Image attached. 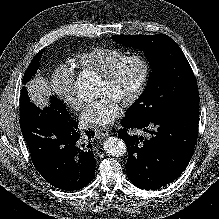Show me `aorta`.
<instances>
[{
    "label": "aorta",
    "mask_w": 219,
    "mask_h": 219,
    "mask_svg": "<svg viewBox=\"0 0 219 219\" xmlns=\"http://www.w3.org/2000/svg\"><path fill=\"white\" fill-rule=\"evenodd\" d=\"M79 89H81V91L85 89L89 91V86H85V84L84 85L79 84ZM103 147H104V150L109 155L114 156V157H121L127 151L125 142L118 137L107 138L103 143Z\"/></svg>",
    "instance_id": "aorta-1"
}]
</instances>
